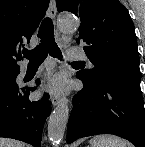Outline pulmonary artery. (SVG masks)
Masks as SVG:
<instances>
[{
	"mask_svg": "<svg viewBox=\"0 0 145 147\" xmlns=\"http://www.w3.org/2000/svg\"><path fill=\"white\" fill-rule=\"evenodd\" d=\"M68 57L70 59H86L88 60L89 64L92 65V62L87 58L84 51L79 49H69L68 50ZM24 70L22 71V74H24Z\"/></svg>",
	"mask_w": 145,
	"mask_h": 147,
	"instance_id": "1",
	"label": "pulmonary artery"
}]
</instances>
